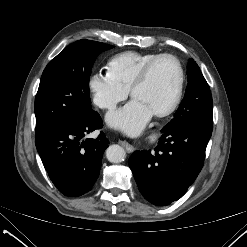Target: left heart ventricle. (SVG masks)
<instances>
[{"instance_id":"obj_1","label":"left heart ventricle","mask_w":247,"mask_h":247,"mask_svg":"<svg viewBox=\"0 0 247 247\" xmlns=\"http://www.w3.org/2000/svg\"><path fill=\"white\" fill-rule=\"evenodd\" d=\"M177 80L175 62L168 58L161 59L153 66L145 82L137 88L134 99L152 112L161 110L171 101Z\"/></svg>"}]
</instances>
